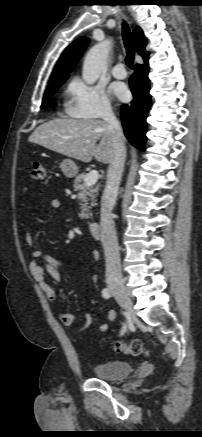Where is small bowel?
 Masks as SVG:
<instances>
[{
    "label": "small bowel",
    "instance_id": "1",
    "mask_svg": "<svg viewBox=\"0 0 202 437\" xmlns=\"http://www.w3.org/2000/svg\"><path fill=\"white\" fill-rule=\"evenodd\" d=\"M49 205L53 209H57L60 206V201L57 198H51L49 200ZM26 243L29 246H33L34 240L33 236L30 232L26 233L25 236ZM32 258L33 260L29 264V272L33 279L38 283L40 288L46 293L49 299L55 300L56 294L53 288L46 282L45 273L47 272L54 282H60L62 279V263L58 259L43 253L39 249L32 250ZM93 281L96 286L97 277L93 276ZM108 320L113 322L116 318V312L114 310H109L107 313ZM60 321L65 326H72L75 322V316L73 313L69 311H63L59 314ZM93 323V318L91 314H85V322L83 327L76 329L77 333H80L86 329H88ZM97 330L101 333H104L108 330L107 324H100L97 327Z\"/></svg>",
    "mask_w": 202,
    "mask_h": 437
}]
</instances>
